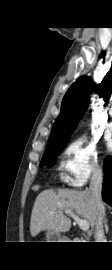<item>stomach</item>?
Returning a JSON list of instances; mask_svg holds the SVG:
<instances>
[{"label": "stomach", "instance_id": "stomach-1", "mask_svg": "<svg viewBox=\"0 0 112 270\" xmlns=\"http://www.w3.org/2000/svg\"><path fill=\"white\" fill-rule=\"evenodd\" d=\"M46 239L48 242H62L61 240H64V237L61 236L60 232L47 230Z\"/></svg>", "mask_w": 112, "mask_h": 270}]
</instances>
